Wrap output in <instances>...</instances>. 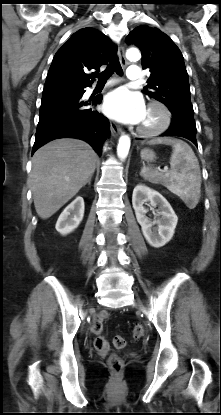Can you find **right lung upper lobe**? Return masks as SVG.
<instances>
[{
    "instance_id": "obj_1",
    "label": "right lung upper lobe",
    "mask_w": 221,
    "mask_h": 415,
    "mask_svg": "<svg viewBox=\"0 0 221 415\" xmlns=\"http://www.w3.org/2000/svg\"><path fill=\"white\" fill-rule=\"evenodd\" d=\"M117 53V47L92 27L75 32L57 51L49 68L43 93L75 90L93 83L89 70L100 71Z\"/></svg>"
}]
</instances>
